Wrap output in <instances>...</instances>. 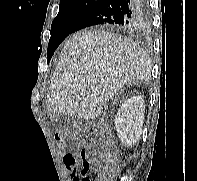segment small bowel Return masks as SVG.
Masks as SVG:
<instances>
[{
    "label": "small bowel",
    "instance_id": "obj_1",
    "mask_svg": "<svg viewBox=\"0 0 197 181\" xmlns=\"http://www.w3.org/2000/svg\"><path fill=\"white\" fill-rule=\"evenodd\" d=\"M76 136H74L75 138ZM59 141V144L62 146V156H63V160H64V164L67 168V170L72 174L71 177H70V181H78V178L75 173H76V170H77V161H78V157L75 153H72V152H66L64 150V144H65V140L64 138L63 139H58ZM87 151L86 149H83L81 151V153L83 151ZM80 153V155H81ZM81 159V158H80Z\"/></svg>",
    "mask_w": 197,
    "mask_h": 181
}]
</instances>
